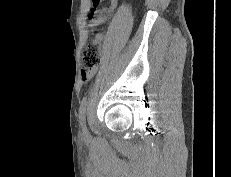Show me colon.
Masks as SVG:
<instances>
[{"label": "colon", "mask_w": 231, "mask_h": 177, "mask_svg": "<svg viewBox=\"0 0 231 177\" xmlns=\"http://www.w3.org/2000/svg\"><path fill=\"white\" fill-rule=\"evenodd\" d=\"M82 61L84 71H91L96 68L101 62V54L96 39L90 40L84 47L82 53Z\"/></svg>", "instance_id": "5ec220e1"}]
</instances>
